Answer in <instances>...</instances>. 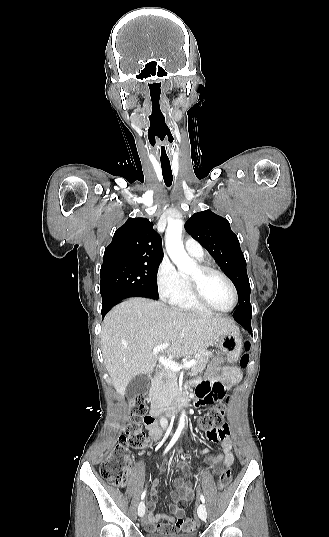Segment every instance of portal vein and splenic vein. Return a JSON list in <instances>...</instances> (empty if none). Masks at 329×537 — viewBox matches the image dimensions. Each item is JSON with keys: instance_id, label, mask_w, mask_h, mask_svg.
Returning <instances> with one entry per match:
<instances>
[{"instance_id": "portal-vein-and-splenic-vein-1", "label": "portal vein and splenic vein", "mask_w": 329, "mask_h": 537, "mask_svg": "<svg viewBox=\"0 0 329 537\" xmlns=\"http://www.w3.org/2000/svg\"><path fill=\"white\" fill-rule=\"evenodd\" d=\"M169 346H170V343H163V344L157 345V346H155L153 348V354L157 355L160 351H162L163 349H166ZM159 362L162 365H164L165 367H167L170 370L175 371V372H178V371H180L182 369H190L196 363L195 360H191V361H189L188 363H186L184 365H180L179 363L173 361L172 359H167V358H164V357H159Z\"/></svg>"}]
</instances>
